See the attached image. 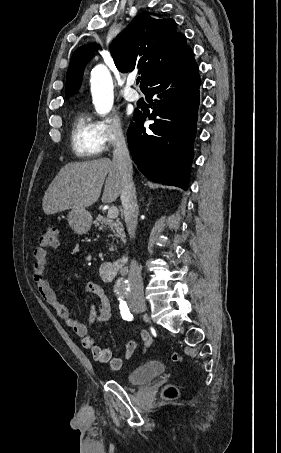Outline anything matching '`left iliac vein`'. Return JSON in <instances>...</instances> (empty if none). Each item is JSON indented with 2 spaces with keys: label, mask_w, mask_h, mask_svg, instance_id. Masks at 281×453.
I'll use <instances>...</instances> for the list:
<instances>
[{
  "label": "left iliac vein",
  "mask_w": 281,
  "mask_h": 453,
  "mask_svg": "<svg viewBox=\"0 0 281 453\" xmlns=\"http://www.w3.org/2000/svg\"><path fill=\"white\" fill-rule=\"evenodd\" d=\"M133 313H140V309L137 307L136 308L134 307Z\"/></svg>",
  "instance_id": "4c4485c4"
}]
</instances>
